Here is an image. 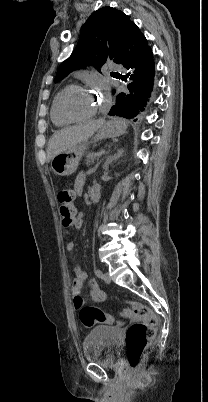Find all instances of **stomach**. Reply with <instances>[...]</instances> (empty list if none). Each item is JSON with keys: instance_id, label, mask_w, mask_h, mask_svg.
I'll list each match as a JSON object with an SVG mask.
<instances>
[{"instance_id": "0dacf381", "label": "stomach", "mask_w": 208, "mask_h": 402, "mask_svg": "<svg viewBox=\"0 0 208 402\" xmlns=\"http://www.w3.org/2000/svg\"><path fill=\"white\" fill-rule=\"evenodd\" d=\"M127 130L126 120H120V118H112L109 122H105L101 128H99L93 142L103 140V138H117L122 136ZM90 142H82L77 146H72L65 152H60L57 156H54L51 160V168L57 176H71L78 168V164Z\"/></svg>"}]
</instances>
